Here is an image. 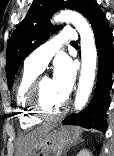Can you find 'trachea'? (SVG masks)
I'll use <instances>...</instances> for the list:
<instances>
[{"label":"trachea","instance_id":"obj_1","mask_svg":"<svg viewBox=\"0 0 114 156\" xmlns=\"http://www.w3.org/2000/svg\"><path fill=\"white\" fill-rule=\"evenodd\" d=\"M72 44H76V42H72Z\"/></svg>","mask_w":114,"mask_h":156}]
</instances>
